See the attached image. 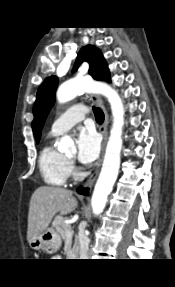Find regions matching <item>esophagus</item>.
Returning <instances> with one entry per match:
<instances>
[{"mask_svg":"<svg viewBox=\"0 0 175 287\" xmlns=\"http://www.w3.org/2000/svg\"><path fill=\"white\" fill-rule=\"evenodd\" d=\"M91 100L94 103L98 104L101 107V109L103 110L104 122H103V124L100 127V132L102 133V136H103L101 156H100V158H99V160L97 162L96 169L94 170V172L91 174L89 179L84 184L85 187H89V188H91L94 185V183H95V181H96V179L98 177L99 171H100V167H101L102 159H103V155H104V150H105V146H106L107 139H108L107 128H108V124H109V115H108L107 109H106L104 103L102 102L100 96L97 95V94H92L91 95Z\"/></svg>","mask_w":175,"mask_h":287,"instance_id":"obj_1","label":"esophagus"}]
</instances>
